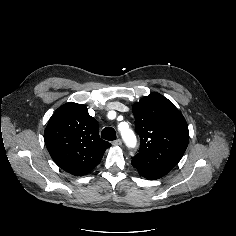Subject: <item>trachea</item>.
<instances>
[{
	"instance_id": "obj_1",
	"label": "trachea",
	"mask_w": 236,
	"mask_h": 236,
	"mask_svg": "<svg viewBox=\"0 0 236 236\" xmlns=\"http://www.w3.org/2000/svg\"><path fill=\"white\" fill-rule=\"evenodd\" d=\"M101 137L108 141L116 140V132L112 127H106L101 132Z\"/></svg>"
}]
</instances>
